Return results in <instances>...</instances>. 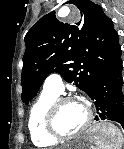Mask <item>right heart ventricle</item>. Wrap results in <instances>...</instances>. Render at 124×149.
Listing matches in <instances>:
<instances>
[{
	"label": "right heart ventricle",
	"mask_w": 124,
	"mask_h": 149,
	"mask_svg": "<svg viewBox=\"0 0 124 149\" xmlns=\"http://www.w3.org/2000/svg\"><path fill=\"white\" fill-rule=\"evenodd\" d=\"M58 96L53 92L43 91L30 109L27 126L31 141L37 147L48 148L58 143V140L51 137L45 128L47 110Z\"/></svg>",
	"instance_id": "e07e8e85"
}]
</instances>
